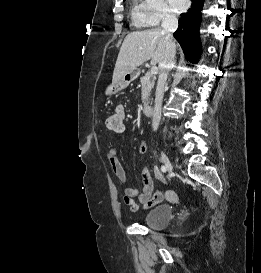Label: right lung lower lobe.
I'll use <instances>...</instances> for the list:
<instances>
[{"label":"right lung lower lobe","mask_w":261,"mask_h":273,"mask_svg":"<svg viewBox=\"0 0 261 273\" xmlns=\"http://www.w3.org/2000/svg\"><path fill=\"white\" fill-rule=\"evenodd\" d=\"M204 0H192V6L187 13H182L179 18V27L174 32V37L180 43L185 56L192 63H196L200 54L199 25L201 8Z\"/></svg>","instance_id":"98d812e1"}]
</instances>
